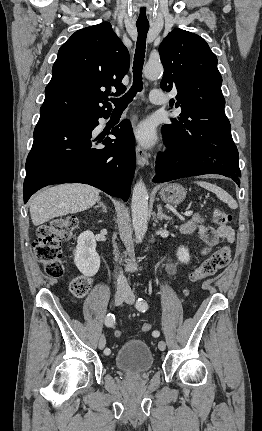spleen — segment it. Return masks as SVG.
I'll use <instances>...</instances> for the list:
<instances>
[{
	"mask_svg": "<svg viewBox=\"0 0 262 431\" xmlns=\"http://www.w3.org/2000/svg\"><path fill=\"white\" fill-rule=\"evenodd\" d=\"M197 183L199 186L213 192L216 194V196L223 202H225L226 204H228V206L231 209H236L238 207L237 202L233 199V197L231 195H229L225 190H223L222 188L218 187L215 184H211L209 182H205V181H197L195 182Z\"/></svg>",
	"mask_w": 262,
	"mask_h": 431,
	"instance_id": "obj_1",
	"label": "spleen"
}]
</instances>
